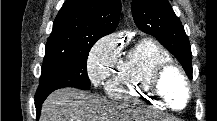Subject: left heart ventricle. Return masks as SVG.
<instances>
[{"mask_svg":"<svg viewBox=\"0 0 217 121\" xmlns=\"http://www.w3.org/2000/svg\"><path fill=\"white\" fill-rule=\"evenodd\" d=\"M162 90L166 97L176 107H181L186 100L183 81L174 73L169 74L162 82Z\"/></svg>","mask_w":217,"mask_h":121,"instance_id":"obj_1","label":"left heart ventricle"}]
</instances>
